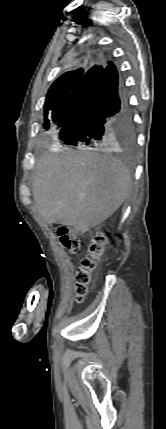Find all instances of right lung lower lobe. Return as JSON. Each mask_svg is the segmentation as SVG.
<instances>
[{
  "label": "right lung lower lobe",
  "instance_id": "1",
  "mask_svg": "<svg viewBox=\"0 0 166 429\" xmlns=\"http://www.w3.org/2000/svg\"><path fill=\"white\" fill-rule=\"evenodd\" d=\"M124 79L111 61L88 69L60 128L67 145H103L118 129L132 126Z\"/></svg>",
  "mask_w": 166,
  "mask_h": 429
}]
</instances>
